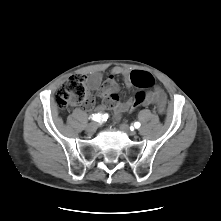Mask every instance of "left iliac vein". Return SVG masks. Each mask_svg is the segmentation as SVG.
Instances as JSON below:
<instances>
[{
	"label": "left iliac vein",
	"instance_id": "obj_1",
	"mask_svg": "<svg viewBox=\"0 0 221 221\" xmlns=\"http://www.w3.org/2000/svg\"><path fill=\"white\" fill-rule=\"evenodd\" d=\"M120 130L124 133H126L127 135L129 136H135L136 135V132L134 130H131L127 124L125 123H122L120 125Z\"/></svg>",
	"mask_w": 221,
	"mask_h": 221
}]
</instances>
